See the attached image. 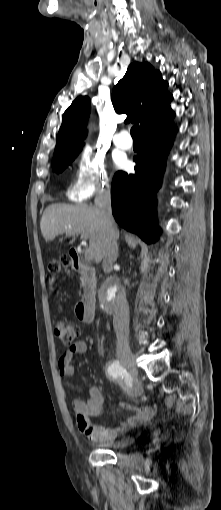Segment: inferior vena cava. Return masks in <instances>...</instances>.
<instances>
[{
    "label": "inferior vena cava",
    "instance_id": "obj_1",
    "mask_svg": "<svg viewBox=\"0 0 221 510\" xmlns=\"http://www.w3.org/2000/svg\"><path fill=\"white\" fill-rule=\"evenodd\" d=\"M95 206L99 209L103 226L107 232L108 242L106 252L103 258V271L110 273L113 270V264L118 257L117 239L119 232L115 224L111 210V193L109 188H101L97 191L95 197ZM114 329L116 333V349L118 352L129 350V306L126 300L124 287H121L117 293L114 305Z\"/></svg>",
    "mask_w": 221,
    "mask_h": 510
}]
</instances>
